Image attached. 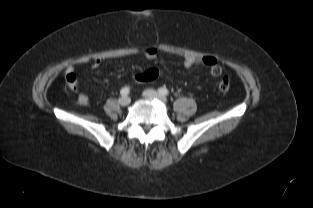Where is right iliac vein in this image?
<instances>
[{"instance_id":"63e3f726","label":"right iliac vein","mask_w":313,"mask_h":208,"mask_svg":"<svg viewBox=\"0 0 313 208\" xmlns=\"http://www.w3.org/2000/svg\"><path fill=\"white\" fill-rule=\"evenodd\" d=\"M130 98L127 97V96H123V97H120L119 100H118V103L121 105V106H127L130 104Z\"/></svg>"}]
</instances>
